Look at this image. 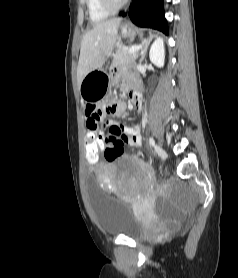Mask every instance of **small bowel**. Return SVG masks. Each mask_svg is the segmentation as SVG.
Segmentation results:
<instances>
[{"label":"small bowel","mask_w":238,"mask_h":278,"mask_svg":"<svg viewBox=\"0 0 238 278\" xmlns=\"http://www.w3.org/2000/svg\"><path fill=\"white\" fill-rule=\"evenodd\" d=\"M117 81H123L130 85L134 84L133 79L124 73H117L115 76ZM140 94L134 90L131 93L132 100L135 104V96ZM141 98V97H140ZM136 106V105H135ZM126 110V104L124 102L114 103L113 100L109 101V104H97L90 103L85 108V114L87 117L86 127L87 130H94L98 134V137H105L106 144H115L117 142L126 143L133 147H139L142 144L141 131L138 125L132 126H111L108 131L102 127L104 118L109 113L120 116ZM95 163V162H91ZM140 169L144 168V164L141 161H137Z\"/></svg>","instance_id":"obj_1"}]
</instances>
